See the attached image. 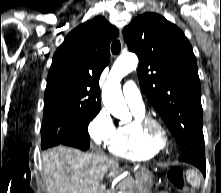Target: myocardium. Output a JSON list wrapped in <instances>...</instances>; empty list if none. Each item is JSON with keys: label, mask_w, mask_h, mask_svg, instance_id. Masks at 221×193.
<instances>
[{"label": "myocardium", "mask_w": 221, "mask_h": 193, "mask_svg": "<svg viewBox=\"0 0 221 193\" xmlns=\"http://www.w3.org/2000/svg\"><path fill=\"white\" fill-rule=\"evenodd\" d=\"M139 129L146 138L161 149L170 143L168 128L159 118L144 116L139 122Z\"/></svg>", "instance_id": "f54148a6"}]
</instances>
